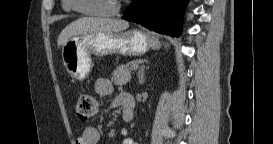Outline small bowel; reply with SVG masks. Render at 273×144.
Instances as JSON below:
<instances>
[{
    "label": "small bowel",
    "mask_w": 273,
    "mask_h": 144,
    "mask_svg": "<svg viewBox=\"0 0 273 144\" xmlns=\"http://www.w3.org/2000/svg\"><path fill=\"white\" fill-rule=\"evenodd\" d=\"M95 90L101 97H109L113 92V85L107 77H100L95 82ZM119 97V96H118ZM118 97L112 103V108L118 106ZM123 144H133V140L127 136V131L124 130ZM100 135L96 128L86 127L83 130L81 136L75 140V144H97L99 142Z\"/></svg>",
    "instance_id": "obj_1"
}]
</instances>
